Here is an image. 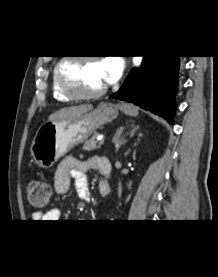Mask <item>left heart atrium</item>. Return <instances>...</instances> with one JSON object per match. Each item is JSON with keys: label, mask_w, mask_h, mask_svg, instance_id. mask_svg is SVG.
<instances>
[{"label": "left heart atrium", "mask_w": 218, "mask_h": 277, "mask_svg": "<svg viewBox=\"0 0 218 277\" xmlns=\"http://www.w3.org/2000/svg\"><path fill=\"white\" fill-rule=\"evenodd\" d=\"M101 63L106 83L115 82L123 70V62L119 58H108Z\"/></svg>", "instance_id": "1"}]
</instances>
